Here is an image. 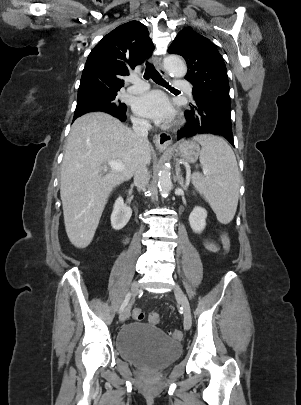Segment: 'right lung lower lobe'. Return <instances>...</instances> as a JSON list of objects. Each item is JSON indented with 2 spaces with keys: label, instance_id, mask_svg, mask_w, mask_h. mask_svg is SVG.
Returning a JSON list of instances; mask_svg holds the SVG:
<instances>
[{
  "label": "right lung lower lobe",
  "instance_id": "98d812e1",
  "mask_svg": "<svg viewBox=\"0 0 301 405\" xmlns=\"http://www.w3.org/2000/svg\"><path fill=\"white\" fill-rule=\"evenodd\" d=\"M114 117H117L118 119H120L121 121H125L126 119V115L125 112H106ZM77 117H74V119H76Z\"/></svg>",
  "mask_w": 301,
  "mask_h": 405
}]
</instances>
